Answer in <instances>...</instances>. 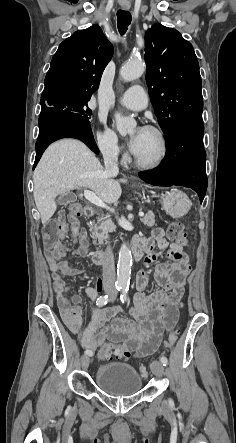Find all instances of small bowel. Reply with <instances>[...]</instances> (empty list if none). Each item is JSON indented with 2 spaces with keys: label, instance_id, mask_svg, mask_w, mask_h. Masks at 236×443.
<instances>
[{
  "label": "small bowel",
  "instance_id": "c3829d8e",
  "mask_svg": "<svg viewBox=\"0 0 236 443\" xmlns=\"http://www.w3.org/2000/svg\"><path fill=\"white\" fill-rule=\"evenodd\" d=\"M72 234L77 243L72 255L76 258L85 257L89 248L86 231L78 230ZM155 244L164 256L173 261L160 263L155 268L154 276L161 289L146 294L150 272L140 271L136 277V293L130 310L134 320L117 317L119 311L117 307L96 309L85 329H82L83 298L80 295L69 296V287L64 280L65 276H78L85 271L72 267L68 262L54 256L51 251L46 252L61 317L71 333L80 336L81 344L87 350L93 352L100 344L112 341L127 345L136 351L138 356H147L156 351L163 334L176 326L178 308L182 305L185 278L190 273L191 266L182 246L175 242L169 245L161 228L154 229L150 239L136 238L133 241L134 246L146 251V263L152 262L157 257L154 251ZM102 289L101 279L96 278L95 286L87 287L85 291L92 300H95Z\"/></svg>",
  "mask_w": 236,
  "mask_h": 443
}]
</instances>
